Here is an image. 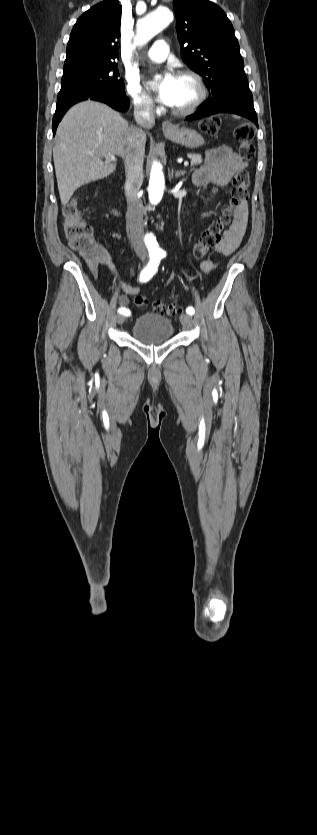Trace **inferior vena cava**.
I'll list each match as a JSON object with an SVG mask.
<instances>
[{"label":"inferior vena cava","mask_w":317,"mask_h":835,"mask_svg":"<svg viewBox=\"0 0 317 835\" xmlns=\"http://www.w3.org/2000/svg\"><path fill=\"white\" fill-rule=\"evenodd\" d=\"M134 117L139 128H131L125 157V195L127 214L130 222V237L136 254L144 260L147 256L144 244L143 203L138 197L143 182V160L146 133L142 128H151L155 124V109L151 101L136 102Z\"/></svg>","instance_id":"1"}]
</instances>
